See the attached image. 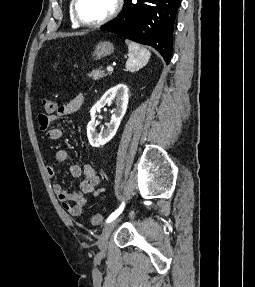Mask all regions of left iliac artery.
Wrapping results in <instances>:
<instances>
[{
    "label": "left iliac artery",
    "instance_id": "obj_1",
    "mask_svg": "<svg viewBox=\"0 0 255 287\" xmlns=\"http://www.w3.org/2000/svg\"><path fill=\"white\" fill-rule=\"evenodd\" d=\"M123 209H124V203H122L121 206L108 217L106 222L108 223L116 219L120 215V213L123 211Z\"/></svg>",
    "mask_w": 255,
    "mask_h": 287
}]
</instances>
